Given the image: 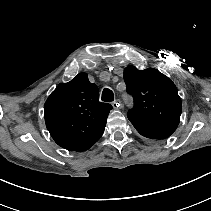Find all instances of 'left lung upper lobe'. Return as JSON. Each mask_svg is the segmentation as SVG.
<instances>
[{
    "label": "left lung upper lobe",
    "mask_w": 211,
    "mask_h": 211,
    "mask_svg": "<svg viewBox=\"0 0 211 211\" xmlns=\"http://www.w3.org/2000/svg\"><path fill=\"white\" fill-rule=\"evenodd\" d=\"M124 81L134 99L127 116L136 130L153 142L168 138L176 130L182 112L175 84L156 69L138 70L134 66L125 68Z\"/></svg>",
    "instance_id": "5c2ea615"
}]
</instances>
